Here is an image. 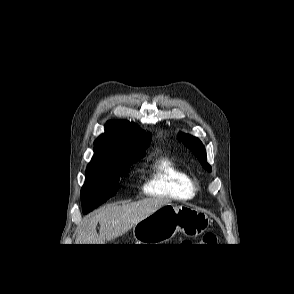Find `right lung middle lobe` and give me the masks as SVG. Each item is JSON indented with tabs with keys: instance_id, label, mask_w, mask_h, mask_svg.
Instances as JSON below:
<instances>
[{
	"instance_id": "1",
	"label": "right lung middle lobe",
	"mask_w": 294,
	"mask_h": 294,
	"mask_svg": "<svg viewBox=\"0 0 294 294\" xmlns=\"http://www.w3.org/2000/svg\"><path fill=\"white\" fill-rule=\"evenodd\" d=\"M142 157L102 156L93 157L86 169V180L81 190L84 213L92 211L115 195L119 180L132 163Z\"/></svg>"
}]
</instances>
